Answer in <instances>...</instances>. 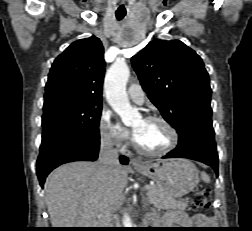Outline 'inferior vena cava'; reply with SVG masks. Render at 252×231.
I'll use <instances>...</instances> for the list:
<instances>
[{"mask_svg": "<svg viewBox=\"0 0 252 231\" xmlns=\"http://www.w3.org/2000/svg\"><path fill=\"white\" fill-rule=\"evenodd\" d=\"M113 140L109 135H104L101 138L99 163L103 170L108 174H114L121 166L119 162L118 150L113 147Z\"/></svg>", "mask_w": 252, "mask_h": 231, "instance_id": "obj_1", "label": "inferior vena cava"}]
</instances>
